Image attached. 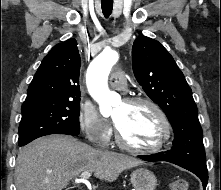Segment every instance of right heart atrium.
<instances>
[{
  "instance_id": "right-heart-atrium-1",
  "label": "right heart atrium",
  "mask_w": 221,
  "mask_h": 190,
  "mask_svg": "<svg viewBox=\"0 0 221 190\" xmlns=\"http://www.w3.org/2000/svg\"><path fill=\"white\" fill-rule=\"evenodd\" d=\"M78 122L81 131L89 141L99 146L108 145L113 133L112 127L94 105L88 102L81 104Z\"/></svg>"
}]
</instances>
